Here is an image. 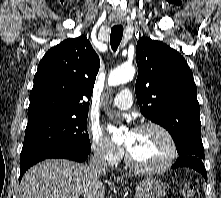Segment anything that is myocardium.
Wrapping results in <instances>:
<instances>
[{
    "label": "myocardium",
    "mask_w": 221,
    "mask_h": 198,
    "mask_svg": "<svg viewBox=\"0 0 221 198\" xmlns=\"http://www.w3.org/2000/svg\"><path fill=\"white\" fill-rule=\"evenodd\" d=\"M145 129H155L158 130L167 140L168 146H169V151L168 155L166 158L159 164L153 165V166H143L138 164L137 162L134 161V159L131 157L130 153L128 152L127 148L125 150V162L128 167H130L132 170L140 172V173H159L162 172L166 169H168L174 162L177 156V144L170 133V131L164 127L163 125L153 122V121H148L140 124L135 128V131H142Z\"/></svg>",
    "instance_id": "f54148a6"
}]
</instances>
